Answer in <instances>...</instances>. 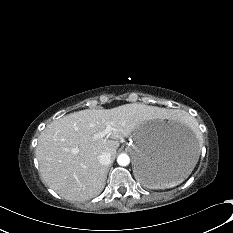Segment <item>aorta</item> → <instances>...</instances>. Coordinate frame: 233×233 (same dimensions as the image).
<instances>
[{
    "label": "aorta",
    "mask_w": 233,
    "mask_h": 233,
    "mask_svg": "<svg viewBox=\"0 0 233 233\" xmlns=\"http://www.w3.org/2000/svg\"><path fill=\"white\" fill-rule=\"evenodd\" d=\"M117 163L120 166H127L130 163V158H129V156L127 154L121 153L117 157Z\"/></svg>",
    "instance_id": "aorta-1"
}]
</instances>
